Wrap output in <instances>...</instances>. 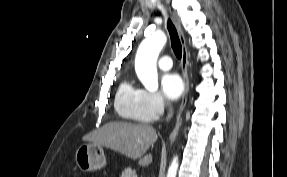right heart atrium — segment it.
Returning <instances> with one entry per match:
<instances>
[{"mask_svg":"<svg viewBox=\"0 0 287 177\" xmlns=\"http://www.w3.org/2000/svg\"><path fill=\"white\" fill-rule=\"evenodd\" d=\"M143 96L146 115L151 119L160 117L166 107V103L160 93L143 90Z\"/></svg>","mask_w":287,"mask_h":177,"instance_id":"right-heart-atrium-1","label":"right heart atrium"}]
</instances>
